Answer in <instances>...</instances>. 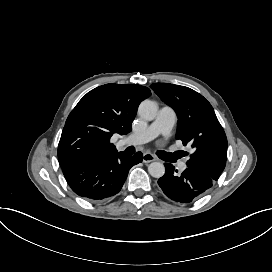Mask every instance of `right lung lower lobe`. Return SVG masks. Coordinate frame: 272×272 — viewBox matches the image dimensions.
Returning a JSON list of instances; mask_svg holds the SVG:
<instances>
[{"instance_id":"right-lung-lower-lobe-1","label":"right lung lower lobe","mask_w":272,"mask_h":272,"mask_svg":"<svg viewBox=\"0 0 272 272\" xmlns=\"http://www.w3.org/2000/svg\"><path fill=\"white\" fill-rule=\"evenodd\" d=\"M141 161L140 152L134 156L116 152L71 163L62 167V171L67 183L77 195L90 201H98L117 194L130 168Z\"/></svg>"}]
</instances>
